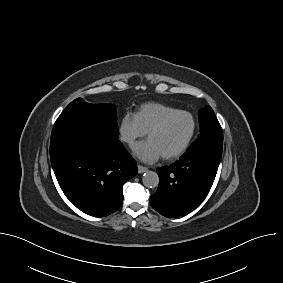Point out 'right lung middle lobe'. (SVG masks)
<instances>
[{
  "mask_svg": "<svg viewBox=\"0 0 283 283\" xmlns=\"http://www.w3.org/2000/svg\"><path fill=\"white\" fill-rule=\"evenodd\" d=\"M63 125L86 126L108 137L119 136L115 105L89 104L82 98L75 99L63 110L54 127Z\"/></svg>",
  "mask_w": 283,
  "mask_h": 283,
  "instance_id": "dd1d6c3e",
  "label": "right lung middle lobe"
}]
</instances>
